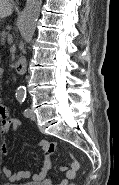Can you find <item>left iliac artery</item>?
Segmentation results:
<instances>
[{"instance_id":"left-iliac-artery-1","label":"left iliac artery","mask_w":119,"mask_h":185,"mask_svg":"<svg viewBox=\"0 0 119 185\" xmlns=\"http://www.w3.org/2000/svg\"><path fill=\"white\" fill-rule=\"evenodd\" d=\"M17 100H18L20 103H23L24 100H25V96H24V97H21V98H17ZM24 116H26V117L29 116V109H25V110H24Z\"/></svg>"}]
</instances>
